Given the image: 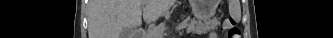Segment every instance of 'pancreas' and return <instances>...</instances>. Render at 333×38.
Instances as JSON below:
<instances>
[{
  "mask_svg": "<svg viewBox=\"0 0 333 38\" xmlns=\"http://www.w3.org/2000/svg\"><path fill=\"white\" fill-rule=\"evenodd\" d=\"M160 29H161L160 27H156V28H153V29L149 30L148 37L149 38H154V37L158 36L159 32H160ZM187 31L188 32H191V31L195 32V25L190 24L187 28Z\"/></svg>",
  "mask_w": 333,
  "mask_h": 38,
  "instance_id": "pancreas-1",
  "label": "pancreas"
}]
</instances>
